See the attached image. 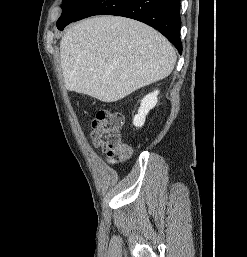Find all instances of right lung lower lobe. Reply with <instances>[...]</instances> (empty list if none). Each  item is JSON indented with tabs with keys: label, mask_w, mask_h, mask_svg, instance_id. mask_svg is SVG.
Here are the masks:
<instances>
[{
	"label": "right lung lower lobe",
	"mask_w": 247,
	"mask_h": 257,
	"mask_svg": "<svg viewBox=\"0 0 247 257\" xmlns=\"http://www.w3.org/2000/svg\"><path fill=\"white\" fill-rule=\"evenodd\" d=\"M93 15H117L146 23L167 37L182 53L180 0H92L71 22ZM66 25L58 29L62 31Z\"/></svg>",
	"instance_id": "1"
}]
</instances>
